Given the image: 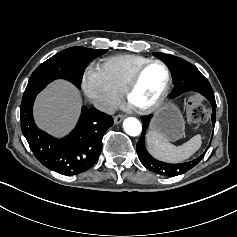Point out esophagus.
<instances>
[{
	"mask_svg": "<svg viewBox=\"0 0 237 237\" xmlns=\"http://www.w3.org/2000/svg\"><path fill=\"white\" fill-rule=\"evenodd\" d=\"M124 118H125L124 115H116V116L114 117V123H115V124H119Z\"/></svg>",
	"mask_w": 237,
	"mask_h": 237,
	"instance_id": "obj_1",
	"label": "esophagus"
}]
</instances>
